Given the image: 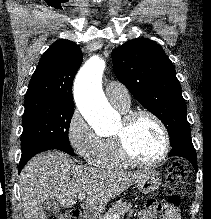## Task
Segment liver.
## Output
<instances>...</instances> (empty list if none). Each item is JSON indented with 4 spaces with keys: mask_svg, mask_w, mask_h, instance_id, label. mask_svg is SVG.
Returning <instances> with one entry per match:
<instances>
[{
    "mask_svg": "<svg viewBox=\"0 0 211 219\" xmlns=\"http://www.w3.org/2000/svg\"><path fill=\"white\" fill-rule=\"evenodd\" d=\"M148 170L133 172L77 165L59 151L38 154L20 174L21 205L25 219H44L43 203L55 199L61 207L76 204L77 194L87 193L82 208L96 209L142 179Z\"/></svg>",
    "mask_w": 211,
    "mask_h": 219,
    "instance_id": "liver-1",
    "label": "liver"
}]
</instances>
